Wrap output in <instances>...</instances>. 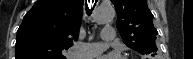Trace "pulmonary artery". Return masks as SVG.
<instances>
[{
	"instance_id": "1",
	"label": "pulmonary artery",
	"mask_w": 193,
	"mask_h": 59,
	"mask_svg": "<svg viewBox=\"0 0 193 59\" xmlns=\"http://www.w3.org/2000/svg\"><path fill=\"white\" fill-rule=\"evenodd\" d=\"M103 39L106 42H112L116 40V35L112 27H103L102 28ZM107 46L103 42L96 43H86L83 48L75 50L73 52L74 59H90L106 50Z\"/></svg>"
}]
</instances>
